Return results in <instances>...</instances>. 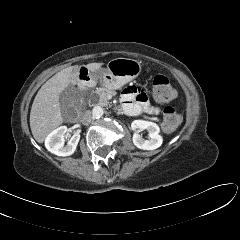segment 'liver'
<instances>
[{
	"label": "liver",
	"instance_id": "6515ba94",
	"mask_svg": "<svg viewBox=\"0 0 240 240\" xmlns=\"http://www.w3.org/2000/svg\"><path fill=\"white\" fill-rule=\"evenodd\" d=\"M102 63H89L88 72H96ZM78 66H70L56 73L39 89L30 112V128L34 139L43 143L46 136L63 123L59 95L79 80Z\"/></svg>",
	"mask_w": 240,
	"mask_h": 240
}]
</instances>
